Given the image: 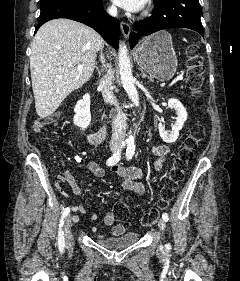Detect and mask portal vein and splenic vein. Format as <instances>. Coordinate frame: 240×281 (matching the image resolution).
Masks as SVG:
<instances>
[{
	"label": "portal vein and splenic vein",
	"mask_w": 240,
	"mask_h": 281,
	"mask_svg": "<svg viewBox=\"0 0 240 281\" xmlns=\"http://www.w3.org/2000/svg\"><path fill=\"white\" fill-rule=\"evenodd\" d=\"M77 69H78V70H82V69H83V66L79 65V66L77 67ZM182 79H183L182 76H177V77L169 84V86H172L173 84H175V83L178 82V81H181Z\"/></svg>",
	"instance_id": "18ae733b"
}]
</instances>
